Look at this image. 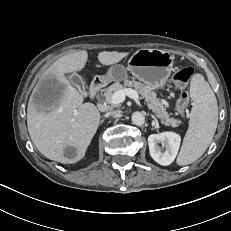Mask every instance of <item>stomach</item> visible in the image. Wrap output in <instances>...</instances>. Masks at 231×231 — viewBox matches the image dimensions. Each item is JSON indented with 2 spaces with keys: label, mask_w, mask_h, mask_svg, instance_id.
Instances as JSON below:
<instances>
[{
  "label": "stomach",
  "mask_w": 231,
  "mask_h": 231,
  "mask_svg": "<svg viewBox=\"0 0 231 231\" xmlns=\"http://www.w3.org/2000/svg\"><path fill=\"white\" fill-rule=\"evenodd\" d=\"M173 63L174 57L166 50L140 49L129 59L127 70L151 89H161L169 79ZM126 76L123 66L114 65L108 70L106 78L110 81H121Z\"/></svg>",
  "instance_id": "1"
}]
</instances>
